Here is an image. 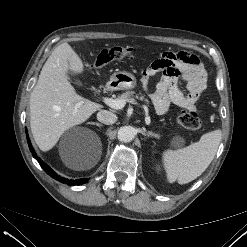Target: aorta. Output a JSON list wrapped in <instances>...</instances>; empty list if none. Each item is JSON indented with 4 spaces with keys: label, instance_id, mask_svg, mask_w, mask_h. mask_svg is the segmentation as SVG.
Wrapping results in <instances>:
<instances>
[{
    "label": "aorta",
    "instance_id": "aorta-1",
    "mask_svg": "<svg viewBox=\"0 0 247 247\" xmlns=\"http://www.w3.org/2000/svg\"><path fill=\"white\" fill-rule=\"evenodd\" d=\"M136 135V129L132 126H123L118 130V139L121 142H131Z\"/></svg>",
    "mask_w": 247,
    "mask_h": 247
}]
</instances>
